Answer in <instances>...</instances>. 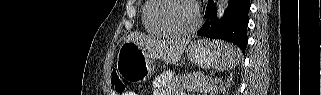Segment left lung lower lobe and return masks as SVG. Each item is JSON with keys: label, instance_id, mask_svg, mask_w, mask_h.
<instances>
[{"label": "left lung lower lobe", "instance_id": "1", "mask_svg": "<svg viewBox=\"0 0 321 95\" xmlns=\"http://www.w3.org/2000/svg\"><path fill=\"white\" fill-rule=\"evenodd\" d=\"M250 6L249 0H230L223 18L218 21L215 3L213 0H208L205 12L207 19L197 35L230 41L245 52L248 43L247 27Z\"/></svg>", "mask_w": 321, "mask_h": 95}]
</instances>
